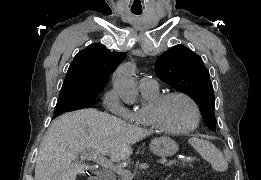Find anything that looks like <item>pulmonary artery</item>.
I'll use <instances>...</instances> for the list:
<instances>
[{
	"instance_id": "obj_1",
	"label": "pulmonary artery",
	"mask_w": 261,
	"mask_h": 180,
	"mask_svg": "<svg viewBox=\"0 0 261 180\" xmlns=\"http://www.w3.org/2000/svg\"><path fill=\"white\" fill-rule=\"evenodd\" d=\"M141 90H153L157 88V81L150 76L144 75L139 79Z\"/></svg>"
}]
</instances>
